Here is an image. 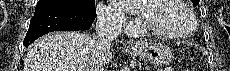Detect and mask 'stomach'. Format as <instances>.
Returning a JSON list of instances; mask_svg holds the SVG:
<instances>
[{"label":"stomach","mask_w":230,"mask_h":71,"mask_svg":"<svg viewBox=\"0 0 230 71\" xmlns=\"http://www.w3.org/2000/svg\"><path fill=\"white\" fill-rule=\"evenodd\" d=\"M142 59L149 61L155 65H165L172 61L173 55L167 45L155 43L145 44L139 49H129Z\"/></svg>","instance_id":"obj_1"}]
</instances>
